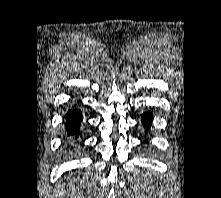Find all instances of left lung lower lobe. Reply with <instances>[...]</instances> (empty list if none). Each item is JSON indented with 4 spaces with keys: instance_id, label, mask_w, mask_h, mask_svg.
Segmentation results:
<instances>
[{
    "instance_id": "left-lung-lower-lobe-1",
    "label": "left lung lower lobe",
    "mask_w": 221,
    "mask_h": 198,
    "mask_svg": "<svg viewBox=\"0 0 221 198\" xmlns=\"http://www.w3.org/2000/svg\"><path fill=\"white\" fill-rule=\"evenodd\" d=\"M142 124L145 128H147V130L151 127V124H152V114L151 112H145L143 115H142ZM146 130V132H147Z\"/></svg>"
}]
</instances>
